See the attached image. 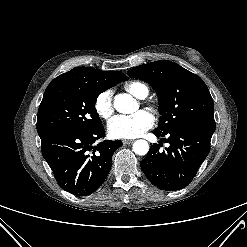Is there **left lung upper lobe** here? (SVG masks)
<instances>
[{
  "instance_id": "1",
  "label": "left lung upper lobe",
  "mask_w": 247,
  "mask_h": 247,
  "mask_svg": "<svg viewBox=\"0 0 247 247\" xmlns=\"http://www.w3.org/2000/svg\"><path fill=\"white\" fill-rule=\"evenodd\" d=\"M127 74L149 83L157 93L161 118L155 131L191 127L214 133V103L199 76L168 60L137 66Z\"/></svg>"
}]
</instances>
